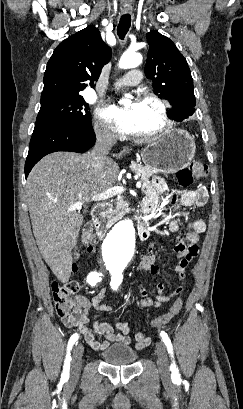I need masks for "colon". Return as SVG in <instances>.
<instances>
[{
	"mask_svg": "<svg viewBox=\"0 0 243 409\" xmlns=\"http://www.w3.org/2000/svg\"><path fill=\"white\" fill-rule=\"evenodd\" d=\"M208 174L207 166L201 161H193L186 168L177 173L179 185L183 187L189 186L194 179H202ZM95 243V236L90 229L86 230L83 236L82 244L87 251H91ZM77 269V265L73 266ZM79 290V284L76 281H68L62 284L57 282L52 285L53 300L55 303L56 312L66 325H76L81 318L82 311L73 297ZM183 301L176 299L169 308L168 312L151 321L153 327H164L182 309Z\"/></svg>",
	"mask_w": 243,
	"mask_h": 409,
	"instance_id": "5ec220e1",
	"label": "colon"
}]
</instances>
